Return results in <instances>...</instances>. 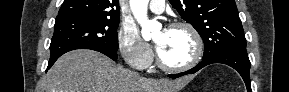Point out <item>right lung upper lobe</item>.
Returning <instances> with one entry per match:
<instances>
[{"label":"right lung upper lobe","mask_w":289,"mask_h":92,"mask_svg":"<svg viewBox=\"0 0 289 92\" xmlns=\"http://www.w3.org/2000/svg\"><path fill=\"white\" fill-rule=\"evenodd\" d=\"M75 17L120 19L119 0H65L56 20Z\"/></svg>","instance_id":"1"}]
</instances>
